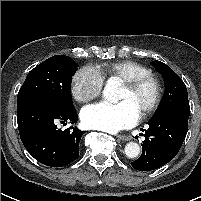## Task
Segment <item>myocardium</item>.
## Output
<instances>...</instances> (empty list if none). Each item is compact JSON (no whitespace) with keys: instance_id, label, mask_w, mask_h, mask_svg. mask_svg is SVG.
Returning <instances> with one entry per match:
<instances>
[{"instance_id":"1","label":"myocardium","mask_w":201,"mask_h":201,"mask_svg":"<svg viewBox=\"0 0 201 201\" xmlns=\"http://www.w3.org/2000/svg\"><path fill=\"white\" fill-rule=\"evenodd\" d=\"M147 83L152 85L154 89V97L151 103L142 112H140V118H146L158 109L163 95L162 83L157 76L152 74H146L123 81V86L127 87L131 91H135Z\"/></svg>"}]
</instances>
